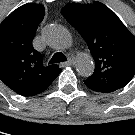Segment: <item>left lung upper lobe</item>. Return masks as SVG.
Segmentation results:
<instances>
[{
	"instance_id": "1",
	"label": "left lung upper lobe",
	"mask_w": 135,
	"mask_h": 135,
	"mask_svg": "<svg viewBox=\"0 0 135 135\" xmlns=\"http://www.w3.org/2000/svg\"><path fill=\"white\" fill-rule=\"evenodd\" d=\"M66 20L82 35L95 61V71L84 82L107 92L116 91L135 75V36L101 2L69 3Z\"/></svg>"
}]
</instances>
